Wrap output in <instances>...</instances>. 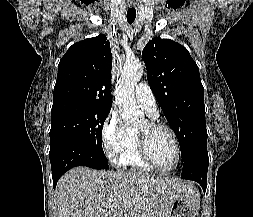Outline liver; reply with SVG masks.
<instances>
[{
  "instance_id": "6515ba94",
  "label": "liver",
  "mask_w": 253,
  "mask_h": 217,
  "mask_svg": "<svg viewBox=\"0 0 253 217\" xmlns=\"http://www.w3.org/2000/svg\"><path fill=\"white\" fill-rule=\"evenodd\" d=\"M58 217H166L180 198L199 201L195 185L175 177L76 167L57 183Z\"/></svg>"
}]
</instances>
